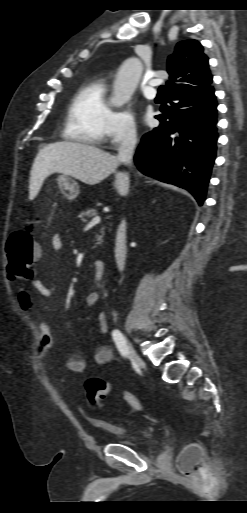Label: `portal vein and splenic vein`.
<instances>
[{
    "mask_svg": "<svg viewBox=\"0 0 247 513\" xmlns=\"http://www.w3.org/2000/svg\"><path fill=\"white\" fill-rule=\"evenodd\" d=\"M101 221L100 216H94L93 219L88 223V226H93Z\"/></svg>",
    "mask_w": 247,
    "mask_h": 513,
    "instance_id": "obj_1",
    "label": "portal vein and splenic vein"
}]
</instances>
